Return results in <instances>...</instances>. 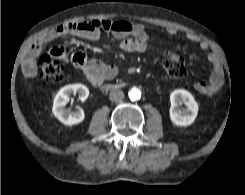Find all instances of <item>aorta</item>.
Listing matches in <instances>:
<instances>
[{"label":"aorta","mask_w":245,"mask_h":195,"mask_svg":"<svg viewBox=\"0 0 245 195\" xmlns=\"http://www.w3.org/2000/svg\"><path fill=\"white\" fill-rule=\"evenodd\" d=\"M128 94L131 101H137L141 98V91L135 87L132 88Z\"/></svg>","instance_id":"762f6f07"}]
</instances>
